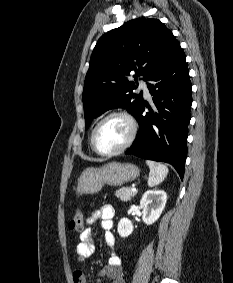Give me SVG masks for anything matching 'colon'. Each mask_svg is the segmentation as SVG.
Listing matches in <instances>:
<instances>
[{
    "label": "colon",
    "instance_id": "colon-1",
    "mask_svg": "<svg viewBox=\"0 0 233 283\" xmlns=\"http://www.w3.org/2000/svg\"><path fill=\"white\" fill-rule=\"evenodd\" d=\"M84 215L81 211H77L69 223V229L73 231H81L84 227Z\"/></svg>",
    "mask_w": 233,
    "mask_h": 283
}]
</instances>
